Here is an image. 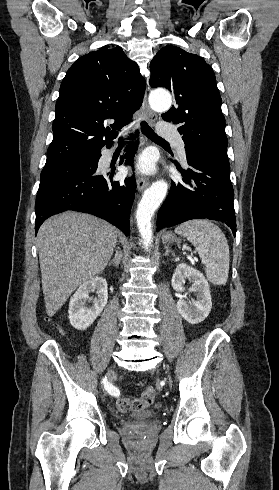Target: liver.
Listing matches in <instances>:
<instances>
[{"label": "liver", "mask_w": 279, "mask_h": 490, "mask_svg": "<svg viewBox=\"0 0 279 490\" xmlns=\"http://www.w3.org/2000/svg\"><path fill=\"white\" fill-rule=\"evenodd\" d=\"M120 232L95 216L63 212L48 218L37 234L42 290L52 318L81 284L102 274Z\"/></svg>", "instance_id": "6515ba94"}]
</instances>
